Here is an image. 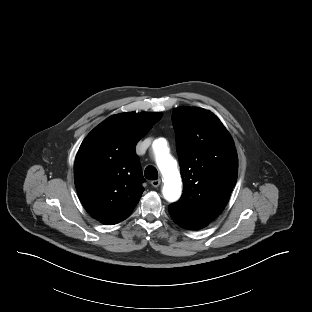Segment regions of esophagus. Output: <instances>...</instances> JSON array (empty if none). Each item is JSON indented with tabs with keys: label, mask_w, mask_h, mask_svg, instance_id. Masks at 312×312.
I'll list each match as a JSON object with an SVG mask.
<instances>
[{
	"label": "esophagus",
	"mask_w": 312,
	"mask_h": 312,
	"mask_svg": "<svg viewBox=\"0 0 312 312\" xmlns=\"http://www.w3.org/2000/svg\"><path fill=\"white\" fill-rule=\"evenodd\" d=\"M160 184H161V180L160 179L151 181V185L153 187H155V188L158 187Z\"/></svg>",
	"instance_id": "34e87169"
}]
</instances>
